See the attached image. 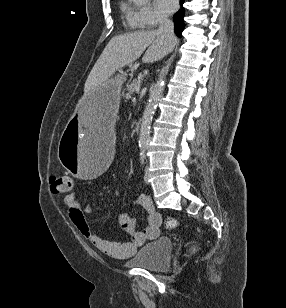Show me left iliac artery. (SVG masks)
<instances>
[{
	"mask_svg": "<svg viewBox=\"0 0 286 308\" xmlns=\"http://www.w3.org/2000/svg\"><path fill=\"white\" fill-rule=\"evenodd\" d=\"M140 156H141V157H140L141 163L143 164L144 158H145V147H142Z\"/></svg>",
	"mask_w": 286,
	"mask_h": 308,
	"instance_id": "44dca946",
	"label": "left iliac artery"
}]
</instances>
